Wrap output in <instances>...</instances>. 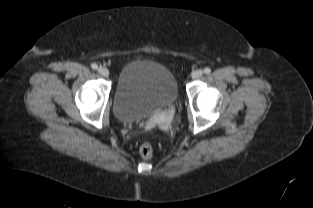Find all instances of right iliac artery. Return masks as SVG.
Returning a JSON list of instances; mask_svg holds the SVG:
<instances>
[{"label":"right iliac artery","instance_id":"right-iliac-artery-1","mask_svg":"<svg viewBox=\"0 0 313 208\" xmlns=\"http://www.w3.org/2000/svg\"><path fill=\"white\" fill-rule=\"evenodd\" d=\"M91 68H92L93 70H96V69L98 68V65H97L96 63H92V64H91Z\"/></svg>","mask_w":313,"mask_h":208}]
</instances>
